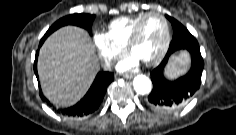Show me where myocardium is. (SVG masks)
<instances>
[{
  "label": "myocardium",
  "instance_id": "1",
  "mask_svg": "<svg viewBox=\"0 0 236 135\" xmlns=\"http://www.w3.org/2000/svg\"><path fill=\"white\" fill-rule=\"evenodd\" d=\"M150 16H157L163 21L164 29H165V37H164L163 45H162L160 51L158 52V54L149 60L143 61V63L147 66H153V65L158 64L164 58L165 54L168 51L169 45H170V38L171 37H170L169 23H168L167 19L162 14H160L158 12L145 13L144 16L136 23V25H135L127 43H126V46H125L126 52L131 53L133 47L135 46V44L139 40L141 28H142L144 21Z\"/></svg>",
  "mask_w": 236,
  "mask_h": 135
}]
</instances>
